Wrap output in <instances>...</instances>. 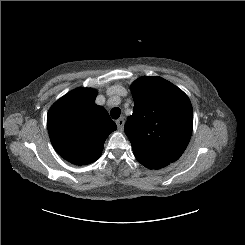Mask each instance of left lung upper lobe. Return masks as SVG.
<instances>
[{"mask_svg": "<svg viewBox=\"0 0 245 245\" xmlns=\"http://www.w3.org/2000/svg\"><path fill=\"white\" fill-rule=\"evenodd\" d=\"M133 114L125 124L136 159L148 169H161L185 151L193 128L188 96L161 77H141L131 85Z\"/></svg>", "mask_w": 245, "mask_h": 245, "instance_id": "1", "label": "left lung upper lobe"}]
</instances>
